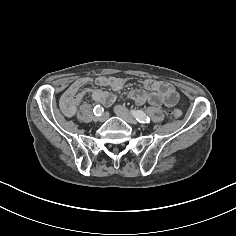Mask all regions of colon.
<instances>
[{"instance_id":"colon-1","label":"colon","mask_w":236,"mask_h":236,"mask_svg":"<svg viewBox=\"0 0 236 236\" xmlns=\"http://www.w3.org/2000/svg\"><path fill=\"white\" fill-rule=\"evenodd\" d=\"M170 115L174 119H178L181 116V111L179 109H174L170 112Z\"/></svg>"}]
</instances>
